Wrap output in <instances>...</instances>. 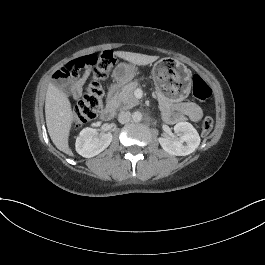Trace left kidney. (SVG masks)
Segmentation results:
<instances>
[{
    "label": "left kidney",
    "instance_id": "obj_1",
    "mask_svg": "<svg viewBox=\"0 0 265 265\" xmlns=\"http://www.w3.org/2000/svg\"><path fill=\"white\" fill-rule=\"evenodd\" d=\"M174 133L179 137H158V142L165 153L173 156H187L199 146L200 137L196 129L188 122H179L174 126Z\"/></svg>",
    "mask_w": 265,
    "mask_h": 265
}]
</instances>
